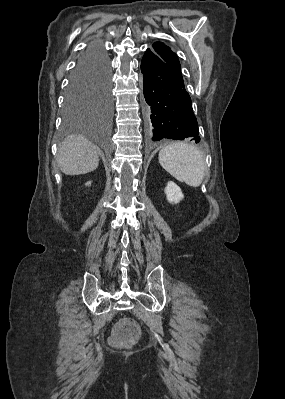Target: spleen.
Segmentation results:
<instances>
[{"label": "spleen", "instance_id": "obj_1", "mask_svg": "<svg viewBox=\"0 0 285 399\" xmlns=\"http://www.w3.org/2000/svg\"><path fill=\"white\" fill-rule=\"evenodd\" d=\"M160 165L178 181L192 187L201 185L206 171L203 153L183 142L167 145L159 152Z\"/></svg>", "mask_w": 285, "mask_h": 399}]
</instances>
